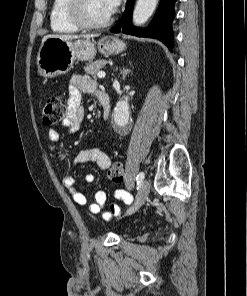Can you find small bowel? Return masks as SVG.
<instances>
[{
  "instance_id": "small-bowel-1",
  "label": "small bowel",
  "mask_w": 247,
  "mask_h": 296,
  "mask_svg": "<svg viewBox=\"0 0 247 296\" xmlns=\"http://www.w3.org/2000/svg\"><path fill=\"white\" fill-rule=\"evenodd\" d=\"M98 91L96 83L89 77L78 74L72 76L69 83V97L67 100L68 112L62 122V125L68 130L69 134H74L78 131L84 118V109L81 105L82 94L97 93ZM48 135L54 144H59L60 135L56 129H50ZM86 163H94L101 169H107L111 165V160L98 148H84L74 155L71 164ZM84 181L89 184L93 183L95 176L88 173L84 176ZM62 183L77 204L82 206L88 204L87 197L77 189L75 180L70 174L65 173L63 175ZM114 198L123 201L125 204H130L133 200L132 196L122 189L114 192ZM106 200V193L102 190H97L94 195V202L89 204L90 212L100 215L104 219H110L112 215H118L120 213V207L112 203L108 208H105Z\"/></svg>"
}]
</instances>
